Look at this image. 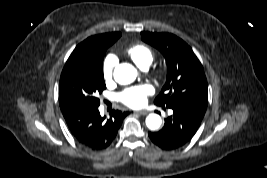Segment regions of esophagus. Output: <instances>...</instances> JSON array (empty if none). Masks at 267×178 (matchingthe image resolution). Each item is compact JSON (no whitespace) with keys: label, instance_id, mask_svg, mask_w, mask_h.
<instances>
[{"label":"esophagus","instance_id":"obj_1","mask_svg":"<svg viewBox=\"0 0 267 178\" xmlns=\"http://www.w3.org/2000/svg\"><path fill=\"white\" fill-rule=\"evenodd\" d=\"M135 113L140 114V115H146L148 112L145 110H142V111H136Z\"/></svg>","mask_w":267,"mask_h":178}]
</instances>
